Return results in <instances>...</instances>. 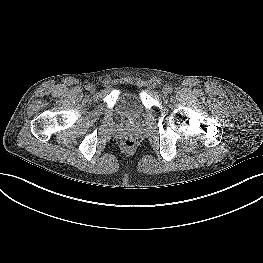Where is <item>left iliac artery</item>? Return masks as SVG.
<instances>
[{"label": "left iliac artery", "instance_id": "1", "mask_svg": "<svg viewBox=\"0 0 263 263\" xmlns=\"http://www.w3.org/2000/svg\"><path fill=\"white\" fill-rule=\"evenodd\" d=\"M168 89H169V93H172L173 88L169 86Z\"/></svg>", "mask_w": 263, "mask_h": 263}]
</instances>
